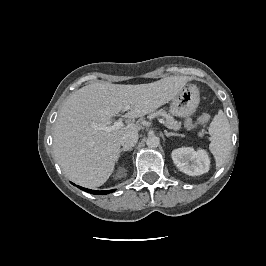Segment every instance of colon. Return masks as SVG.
I'll list each match as a JSON object with an SVG mask.
<instances>
[{
    "label": "colon",
    "instance_id": "colon-1",
    "mask_svg": "<svg viewBox=\"0 0 266 266\" xmlns=\"http://www.w3.org/2000/svg\"><path fill=\"white\" fill-rule=\"evenodd\" d=\"M209 120V115L208 114H202L197 121H193L191 118L186 119L185 121V126L188 129L194 128L197 124H204L208 122Z\"/></svg>",
    "mask_w": 266,
    "mask_h": 266
}]
</instances>
